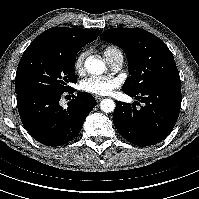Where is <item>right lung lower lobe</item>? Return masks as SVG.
Segmentation results:
<instances>
[{
    "mask_svg": "<svg viewBox=\"0 0 199 199\" xmlns=\"http://www.w3.org/2000/svg\"><path fill=\"white\" fill-rule=\"evenodd\" d=\"M62 94L44 91L17 94L24 127L35 140L47 146H61L75 138L96 105L91 94L79 92L64 109L59 104Z\"/></svg>",
    "mask_w": 199,
    "mask_h": 199,
    "instance_id": "1",
    "label": "right lung lower lobe"
}]
</instances>
